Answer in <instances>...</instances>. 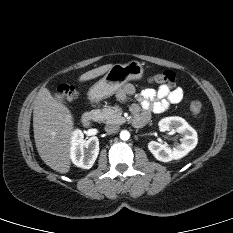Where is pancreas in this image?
I'll return each instance as SVG.
<instances>
[{"label":"pancreas","instance_id":"cf45deb5","mask_svg":"<svg viewBox=\"0 0 233 233\" xmlns=\"http://www.w3.org/2000/svg\"><path fill=\"white\" fill-rule=\"evenodd\" d=\"M96 115L99 117V119L106 123H123L124 118L121 116L122 111L117 110L111 107H106L101 110L95 111Z\"/></svg>","mask_w":233,"mask_h":233}]
</instances>
